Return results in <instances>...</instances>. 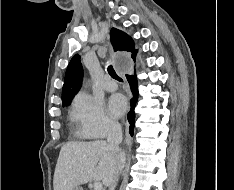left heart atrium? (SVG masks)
I'll list each match as a JSON object with an SVG mask.
<instances>
[{"mask_svg":"<svg viewBox=\"0 0 234 190\" xmlns=\"http://www.w3.org/2000/svg\"><path fill=\"white\" fill-rule=\"evenodd\" d=\"M125 98L120 94L113 95L109 100V110L114 116H120L126 109Z\"/></svg>","mask_w":234,"mask_h":190,"instance_id":"39dd6f15","label":"left heart atrium"}]
</instances>
